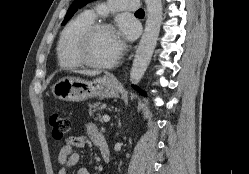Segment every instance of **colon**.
Listing matches in <instances>:
<instances>
[{"mask_svg":"<svg viewBox=\"0 0 249 174\" xmlns=\"http://www.w3.org/2000/svg\"><path fill=\"white\" fill-rule=\"evenodd\" d=\"M48 124L53 137L56 139H62L71 130L70 120L57 112L49 114Z\"/></svg>","mask_w":249,"mask_h":174,"instance_id":"colon-1","label":"colon"}]
</instances>
